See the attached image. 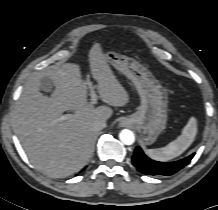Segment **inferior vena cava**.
<instances>
[{"instance_id":"602c4592","label":"inferior vena cava","mask_w":218,"mask_h":210,"mask_svg":"<svg viewBox=\"0 0 218 210\" xmlns=\"http://www.w3.org/2000/svg\"><path fill=\"white\" fill-rule=\"evenodd\" d=\"M94 127L97 130H102L106 127V121L105 120L96 121Z\"/></svg>"}]
</instances>
